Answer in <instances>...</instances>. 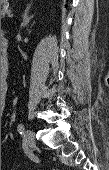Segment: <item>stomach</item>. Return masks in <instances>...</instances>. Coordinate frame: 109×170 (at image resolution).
I'll return each mask as SVG.
<instances>
[{
	"mask_svg": "<svg viewBox=\"0 0 109 170\" xmlns=\"http://www.w3.org/2000/svg\"><path fill=\"white\" fill-rule=\"evenodd\" d=\"M7 2H8V0H1V5H6L7 4Z\"/></svg>",
	"mask_w": 109,
	"mask_h": 170,
	"instance_id": "0dacf381",
	"label": "stomach"
}]
</instances>
